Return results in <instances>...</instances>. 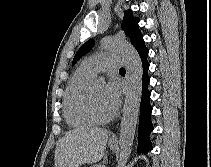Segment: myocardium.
<instances>
[{"label": "myocardium", "instance_id": "f54148a6", "mask_svg": "<svg viewBox=\"0 0 211 167\" xmlns=\"http://www.w3.org/2000/svg\"><path fill=\"white\" fill-rule=\"evenodd\" d=\"M84 107L89 117L97 124H106L111 120H113L115 116L114 114H111L110 116L107 117H101L96 113L92 104L91 86H88V88L86 89L84 95Z\"/></svg>", "mask_w": 211, "mask_h": 167}]
</instances>
